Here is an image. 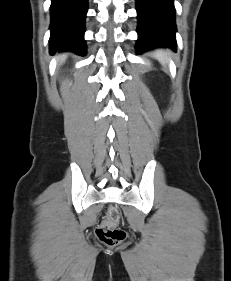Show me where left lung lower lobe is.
<instances>
[{"label": "left lung lower lobe", "instance_id": "0a47b994", "mask_svg": "<svg viewBox=\"0 0 231 281\" xmlns=\"http://www.w3.org/2000/svg\"><path fill=\"white\" fill-rule=\"evenodd\" d=\"M138 12V53L159 47L176 51L173 0H136Z\"/></svg>", "mask_w": 231, "mask_h": 281}]
</instances>
